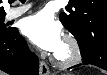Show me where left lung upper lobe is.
<instances>
[{"label":"left lung upper lobe","mask_w":107,"mask_h":75,"mask_svg":"<svg viewBox=\"0 0 107 75\" xmlns=\"http://www.w3.org/2000/svg\"><path fill=\"white\" fill-rule=\"evenodd\" d=\"M60 21L77 39L82 58L95 48L94 36L107 42V0H70Z\"/></svg>","instance_id":"obj_1"}]
</instances>
